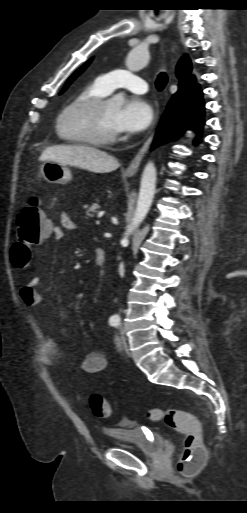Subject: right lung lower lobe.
<instances>
[{
    "label": "right lung lower lobe",
    "mask_w": 247,
    "mask_h": 513,
    "mask_svg": "<svg viewBox=\"0 0 247 513\" xmlns=\"http://www.w3.org/2000/svg\"><path fill=\"white\" fill-rule=\"evenodd\" d=\"M202 94L199 85H196L190 89L178 90L173 95L162 117L155 145L177 138L189 125L200 135L205 116Z\"/></svg>",
    "instance_id": "98d812e1"
}]
</instances>
